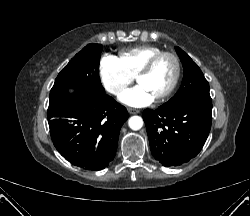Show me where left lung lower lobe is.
I'll use <instances>...</instances> for the list:
<instances>
[{"label": "left lung lower lobe", "instance_id": "left-lung-lower-lobe-1", "mask_svg": "<svg viewBox=\"0 0 250 216\" xmlns=\"http://www.w3.org/2000/svg\"><path fill=\"white\" fill-rule=\"evenodd\" d=\"M152 155L166 167L188 162L201 151L212 122V103L202 100L143 111Z\"/></svg>", "mask_w": 250, "mask_h": 216}]
</instances>
